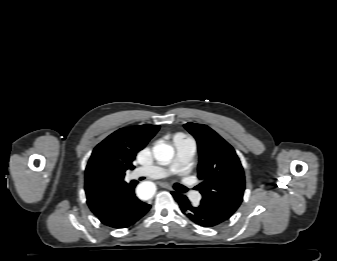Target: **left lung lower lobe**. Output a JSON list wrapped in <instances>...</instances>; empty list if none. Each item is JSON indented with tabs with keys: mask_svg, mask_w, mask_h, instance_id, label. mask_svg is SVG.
<instances>
[{
	"mask_svg": "<svg viewBox=\"0 0 337 261\" xmlns=\"http://www.w3.org/2000/svg\"><path fill=\"white\" fill-rule=\"evenodd\" d=\"M174 199L178 202L182 213L191 221L202 227H215L228 219L206 206H193L187 197L176 192H172Z\"/></svg>",
	"mask_w": 337,
	"mask_h": 261,
	"instance_id": "obj_1",
	"label": "left lung lower lobe"
}]
</instances>
